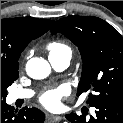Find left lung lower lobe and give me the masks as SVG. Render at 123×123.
Here are the masks:
<instances>
[{"mask_svg":"<svg viewBox=\"0 0 123 123\" xmlns=\"http://www.w3.org/2000/svg\"><path fill=\"white\" fill-rule=\"evenodd\" d=\"M96 117L86 120L77 114H68L66 118L72 123H123V100H104L94 106Z\"/></svg>","mask_w":123,"mask_h":123,"instance_id":"0a47b994","label":"left lung lower lobe"}]
</instances>
